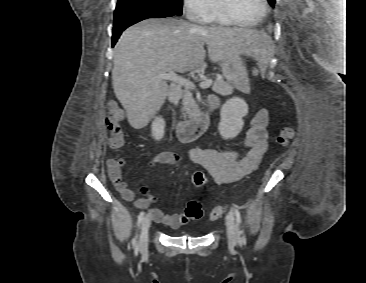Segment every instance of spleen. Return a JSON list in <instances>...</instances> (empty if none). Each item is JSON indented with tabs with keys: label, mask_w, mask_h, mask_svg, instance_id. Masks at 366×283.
<instances>
[{
	"label": "spleen",
	"mask_w": 366,
	"mask_h": 283,
	"mask_svg": "<svg viewBox=\"0 0 366 283\" xmlns=\"http://www.w3.org/2000/svg\"><path fill=\"white\" fill-rule=\"evenodd\" d=\"M258 73H259L258 69L253 70V75H258Z\"/></svg>",
	"instance_id": "3e777b00"
}]
</instances>
